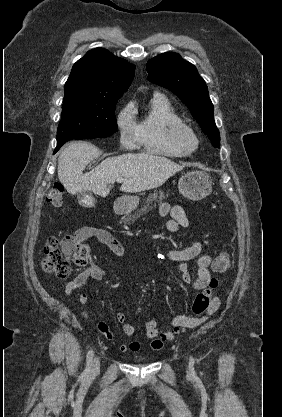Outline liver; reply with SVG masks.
Instances as JSON below:
<instances>
[{
	"label": "liver",
	"instance_id": "6515ba94",
	"mask_svg": "<svg viewBox=\"0 0 282 417\" xmlns=\"http://www.w3.org/2000/svg\"><path fill=\"white\" fill-rule=\"evenodd\" d=\"M99 154L96 146L79 140L64 148L58 158V178L67 192L76 194L80 190H92L99 196H107L111 184L124 178L120 190L141 192L164 184L170 176L182 170V164L155 154H119L108 156L89 172H83L88 162Z\"/></svg>",
	"mask_w": 282,
	"mask_h": 417
}]
</instances>
